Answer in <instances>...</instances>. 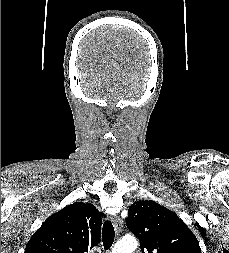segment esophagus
Wrapping results in <instances>:
<instances>
[{
	"mask_svg": "<svg viewBox=\"0 0 229 253\" xmlns=\"http://www.w3.org/2000/svg\"><path fill=\"white\" fill-rule=\"evenodd\" d=\"M113 224H114V228L117 234H120V232H122V228H123V221L120 217L118 216H114L113 219Z\"/></svg>",
	"mask_w": 229,
	"mask_h": 253,
	"instance_id": "obj_1",
	"label": "esophagus"
}]
</instances>
